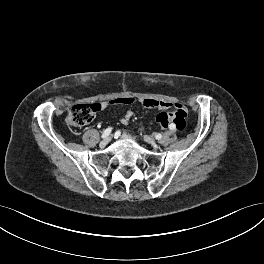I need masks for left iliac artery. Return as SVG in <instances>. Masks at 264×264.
<instances>
[{
	"label": "left iliac artery",
	"instance_id": "1",
	"mask_svg": "<svg viewBox=\"0 0 264 264\" xmlns=\"http://www.w3.org/2000/svg\"><path fill=\"white\" fill-rule=\"evenodd\" d=\"M171 130H174L175 129V126L173 124L170 125L169 127Z\"/></svg>",
	"mask_w": 264,
	"mask_h": 264
}]
</instances>
